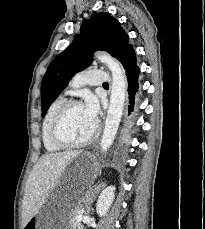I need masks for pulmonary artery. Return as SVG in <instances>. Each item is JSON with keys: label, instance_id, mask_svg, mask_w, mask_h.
<instances>
[{"label": "pulmonary artery", "instance_id": "e3ab8cb5", "mask_svg": "<svg viewBox=\"0 0 205 229\" xmlns=\"http://www.w3.org/2000/svg\"><path fill=\"white\" fill-rule=\"evenodd\" d=\"M108 81H110L108 72L101 69H87L78 73L72 84L73 86H79L85 83L90 85H102Z\"/></svg>", "mask_w": 205, "mask_h": 229}]
</instances>
